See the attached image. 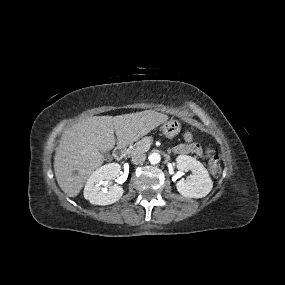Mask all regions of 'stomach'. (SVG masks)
Instances as JSON below:
<instances>
[{
  "label": "stomach",
  "instance_id": "obj_1",
  "mask_svg": "<svg viewBox=\"0 0 285 285\" xmlns=\"http://www.w3.org/2000/svg\"><path fill=\"white\" fill-rule=\"evenodd\" d=\"M180 128V123L175 119L165 122L161 127L162 132L168 137L176 136L180 132Z\"/></svg>",
  "mask_w": 285,
  "mask_h": 285
}]
</instances>
